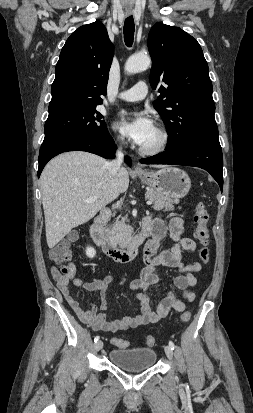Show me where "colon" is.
<instances>
[{"mask_svg": "<svg viewBox=\"0 0 253 413\" xmlns=\"http://www.w3.org/2000/svg\"><path fill=\"white\" fill-rule=\"evenodd\" d=\"M194 222L196 228L194 231V237L200 244L199 258L203 263H208L210 260L209 242L210 235L208 229L209 213L204 203L200 202L196 205L194 211ZM77 239V235L72 233L65 239L55 245L49 252L50 258L56 262L64 275L70 272L68 261L71 257V245ZM191 318V313L185 311L182 313L180 319L183 323H187ZM112 343L118 347L125 348L129 343L120 338H113ZM146 343L148 346H152L155 343V338L151 335L147 336Z\"/></svg>", "mask_w": 253, "mask_h": 413, "instance_id": "obj_1", "label": "colon"}]
</instances>
